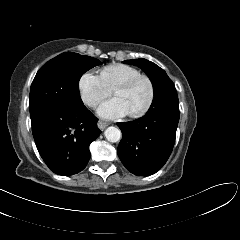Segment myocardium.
<instances>
[{
    "mask_svg": "<svg viewBox=\"0 0 240 240\" xmlns=\"http://www.w3.org/2000/svg\"><path fill=\"white\" fill-rule=\"evenodd\" d=\"M141 81H145L149 86V98H148V101L146 102V104L144 105V107H142L140 110L131 112V116H133V117L144 116L146 113H148V111L151 109V107L153 105V102H154V99H155V87H154V83L151 80V78H149L146 75H140V76H137L135 78H132L130 80H127V81L119 84L114 89L115 93L119 89H130Z\"/></svg>",
    "mask_w": 240,
    "mask_h": 240,
    "instance_id": "obj_1",
    "label": "myocardium"
}]
</instances>
